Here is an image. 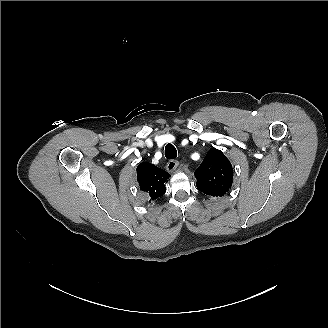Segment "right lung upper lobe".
<instances>
[{
  "instance_id": "obj_1",
  "label": "right lung upper lobe",
  "mask_w": 328,
  "mask_h": 328,
  "mask_svg": "<svg viewBox=\"0 0 328 328\" xmlns=\"http://www.w3.org/2000/svg\"><path fill=\"white\" fill-rule=\"evenodd\" d=\"M169 177V173L151 163H141L137 167L139 187L148 194L150 201L159 198L165 193L164 183Z\"/></svg>"
}]
</instances>
